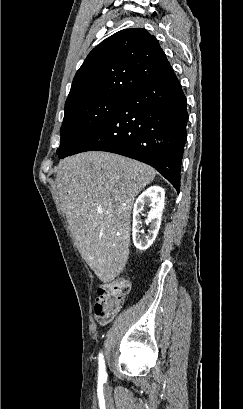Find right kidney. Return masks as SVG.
<instances>
[{"instance_id":"ca27d5eb","label":"right kidney","mask_w":243,"mask_h":409,"mask_svg":"<svg viewBox=\"0 0 243 409\" xmlns=\"http://www.w3.org/2000/svg\"><path fill=\"white\" fill-rule=\"evenodd\" d=\"M164 199V189L159 186L149 187L136 199L133 208L132 237L135 247L141 251L148 249L157 236L161 225ZM145 205L150 208L147 212L149 229L147 235H141V213Z\"/></svg>"}]
</instances>
